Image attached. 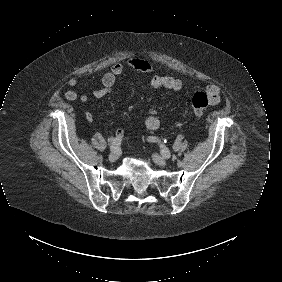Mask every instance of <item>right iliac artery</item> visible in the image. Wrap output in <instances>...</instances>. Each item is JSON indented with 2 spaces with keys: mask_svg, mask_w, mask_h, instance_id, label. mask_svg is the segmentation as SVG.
<instances>
[{
  "mask_svg": "<svg viewBox=\"0 0 282 282\" xmlns=\"http://www.w3.org/2000/svg\"><path fill=\"white\" fill-rule=\"evenodd\" d=\"M121 141H122V138H121V137H116V138L110 139V141H109L110 150H111V151H117V150H119L120 145H121Z\"/></svg>",
  "mask_w": 282,
  "mask_h": 282,
  "instance_id": "obj_1",
  "label": "right iliac artery"
}]
</instances>
